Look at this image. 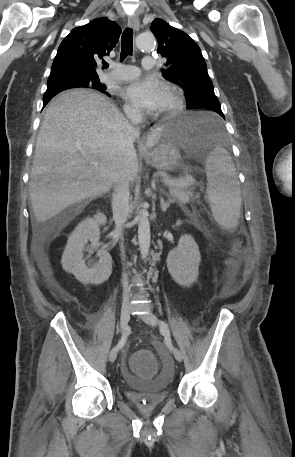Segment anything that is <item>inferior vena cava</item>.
Returning a JSON list of instances; mask_svg holds the SVG:
<instances>
[{
  "label": "inferior vena cava",
  "mask_w": 295,
  "mask_h": 457,
  "mask_svg": "<svg viewBox=\"0 0 295 457\" xmlns=\"http://www.w3.org/2000/svg\"><path fill=\"white\" fill-rule=\"evenodd\" d=\"M126 115L133 125H137L141 121V113L138 109H130L126 111ZM112 209L113 218L116 225L117 235L123 236V225L127 221L129 214V181L125 175H118L114 182V190L112 193ZM124 259V255H123ZM130 287L128 286L127 274L123 273V294L128 297Z\"/></svg>",
  "instance_id": "1"
}]
</instances>
